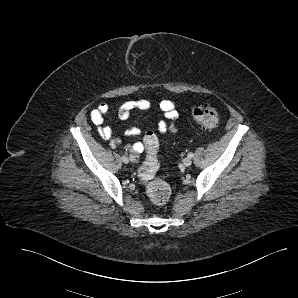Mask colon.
Returning a JSON list of instances; mask_svg holds the SVG:
<instances>
[{
	"mask_svg": "<svg viewBox=\"0 0 298 298\" xmlns=\"http://www.w3.org/2000/svg\"><path fill=\"white\" fill-rule=\"evenodd\" d=\"M191 113L195 121L204 129L212 130L219 124L218 111L212 105L197 106ZM143 148H145L147 154L138 169V177L145 185L148 198L156 205H165L171 198V189L164 180L156 178L159 169L157 157L159 139L154 132L145 134Z\"/></svg>",
	"mask_w": 298,
	"mask_h": 298,
	"instance_id": "colon-1",
	"label": "colon"
}]
</instances>
